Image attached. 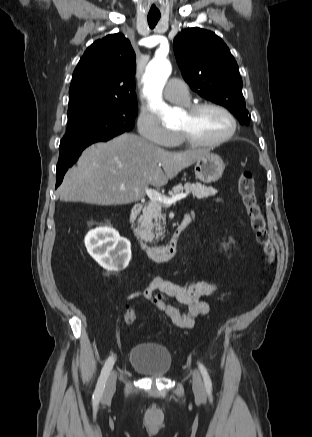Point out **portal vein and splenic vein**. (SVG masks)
I'll return each mask as SVG.
<instances>
[{
    "mask_svg": "<svg viewBox=\"0 0 312 437\" xmlns=\"http://www.w3.org/2000/svg\"><path fill=\"white\" fill-rule=\"evenodd\" d=\"M121 189H125L124 186L121 187ZM145 193L147 194V196L149 197V199L153 202H160L163 203L165 205H171L173 203H175L178 200L184 199L187 197V193H181V194H177L172 196L171 198H168L162 194H160L159 192H157L154 189H150V188H145Z\"/></svg>",
    "mask_w": 312,
    "mask_h": 437,
    "instance_id": "portal-vein-and-splenic-vein-1",
    "label": "portal vein and splenic vein"
}]
</instances>
